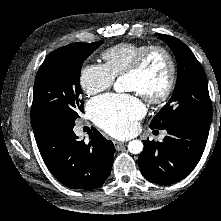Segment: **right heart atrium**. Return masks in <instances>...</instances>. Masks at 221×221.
I'll return each mask as SVG.
<instances>
[{"mask_svg": "<svg viewBox=\"0 0 221 221\" xmlns=\"http://www.w3.org/2000/svg\"><path fill=\"white\" fill-rule=\"evenodd\" d=\"M115 78L102 64L87 63L80 74V85L89 96H94L112 87Z\"/></svg>", "mask_w": 221, "mask_h": 221, "instance_id": "d8ad5b80", "label": "right heart atrium"}]
</instances>
